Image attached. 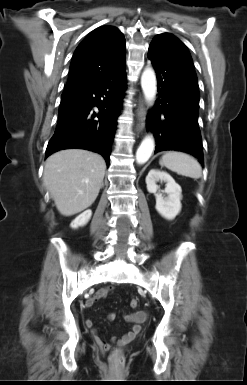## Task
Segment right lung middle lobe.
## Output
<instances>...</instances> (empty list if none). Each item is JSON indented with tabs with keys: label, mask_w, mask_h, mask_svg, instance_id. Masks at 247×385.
Instances as JSON below:
<instances>
[{
	"label": "right lung middle lobe",
	"mask_w": 247,
	"mask_h": 385,
	"mask_svg": "<svg viewBox=\"0 0 247 385\" xmlns=\"http://www.w3.org/2000/svg\"><path fill=\"white\" fill-rule=\"evenodd\" d=\"M77 92H63L61 96V101L71 97L72 95L76 94Z\"/></svg>",
	"instance_id": "dd1d6c3e"
}]
</instances>
